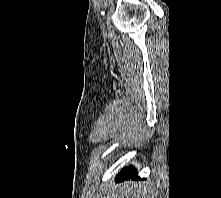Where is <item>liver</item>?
<instances>
[{
  "label": "liver",
  "mask_w": 221,
  "mask_h": 198,
  "mask_svg": "<svg viewBox=\"0 0 221 198\" xmlns=\"http://www.w3.org/2000/svg\"><path fill=\"white\" fill-rule=\"evenodd\" d=\"M155 195V192L147 184L124 182L114 198H155Z\"/></svg>",
  "instance_id": "6515ba94"
}]
</instances>
